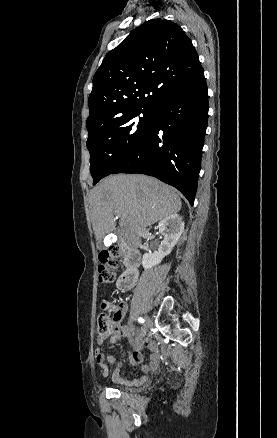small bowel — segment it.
Masks as SVG:
<instances>
[{
    "mask_svg": "<svg viewBox=\"0 0 277 438\" xmlns=\"http://www.w3.org/2000/svg\"><path fill=\"white\" fill-rule=\"evenodd\" d=\"M120 310L121 313H125L127 310V305L126 303H121L120 304ZM133 331V327L130 325H126V326H122V325H117L115 327H113V329L110 331V333L108 335H99L98 337V342L102 343L103 341H105L106 339H109L111 341V343H116L119 338L123 335H127L132 333ZM141 343H135V345L133 346V351L130 355V361L132 364H137L140 363L142 360V355L140 353V348H141ZM147 346L151 349L152 354H151V359H152V363L149 365H143L142 366V370L143 373L141 374V376L138 379H134V380H130V381H125L123 378H121L118 375V367L116 368L115 372H114V380L116 381V383L120 384V385H124L127 384L129 386H140L143 385L146 380H147V372L153 368L157 367V363L158 365H161V362H158L159 360V354H158V348L156 345H154L153 343H149L147 344ZM94 354L97 355L96 356V361L98 362V365L100 367H103L105 365V362L103 361V356L102 354V349L101 348H95L94 349ZM102 374H105V371H102Z\"/></svg>",
    "mask_w": 277,
    "mask_h": 438,
    "instance_id": "1",
    "label": "small bowel"
}]
</instances>
